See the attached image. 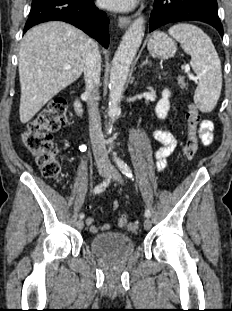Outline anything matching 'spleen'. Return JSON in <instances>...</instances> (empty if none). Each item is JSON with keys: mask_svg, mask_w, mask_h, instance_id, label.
<instances>
[{"mask_svg": "<svg viewBox=\"0 0 232 311\" xmlns=\"http://www.w3.org/2000/svg\"><path fill=\"white\" fill-rule=\"evenodd\" d=\"M168 32L191 56L190 65L198 76L196 106L204 113L212 111L222 89L221 62L212 40L199 27L187 23L176 24Z\"/></svg>", "mask_w": 232, "mask_h": 311, "instance_id": "3e777b00", "label": "spleen"}]
</instances>
